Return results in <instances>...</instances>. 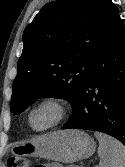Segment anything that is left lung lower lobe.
I'll use <instances>...</instances> for the list:
<instances>
[{
    "label": "left lung lower lobe",
    "instance_id": "obj_1",
    "mask_svg": "<svg viewBox=\"0 0 125 167\" xmlns=\"http://www.w3.org/2000/svg\"><path fill=\"white\" fill-rule=\"evenodd\" d=\"M62 129L104 132L125 145V27L118 16L103 38Z\"/></svg>",
    "mask_w": 125,
    "mask_h": 167
}]
</instances>
